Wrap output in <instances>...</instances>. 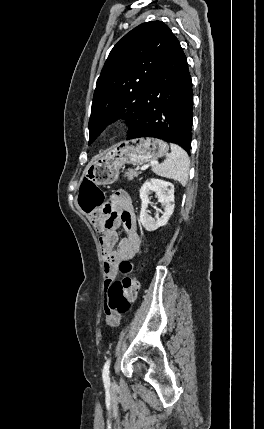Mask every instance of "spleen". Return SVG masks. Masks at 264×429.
<instances>
[{
	"label": "spleen",
	"instance_id": "spleen-1",
	"mask_svg": "<svg viewBox=\"0 0 264 429\" xmlns=\"http://www.w3.org/2000/svg\"><path fill=\"white\" fill-rule=\"evenodd\" d=\"M171 153L161 164L152 166V171L158 176L178 181L185 186L188 181L190 160L188 154L180 146L171 143Z\"/></svg>",
	"mask_w": 264,
	"mask_h": 429
}]
</instances>
